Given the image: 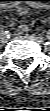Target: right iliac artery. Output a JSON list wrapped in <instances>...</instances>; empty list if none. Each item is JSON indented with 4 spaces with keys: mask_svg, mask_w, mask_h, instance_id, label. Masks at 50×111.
Segmentation results:
<instances>
[{
    "mask_svg": "<svg viewBox=\"0 0 50 111\" xmlns=\"http://www.w3.org/2000/svg\"><path fill=\"white\" fill-rule=\"evenodd\" d=\"M4 35H6L7 37L9 36L8 35V31H4V32H2Z\"/></svg>",
    "mask_w": 50,
    "mask_h": 111,
    "instance_id": "right-iliac-artery-1",
    "label": "right iliac artery"
}]
</instances>
